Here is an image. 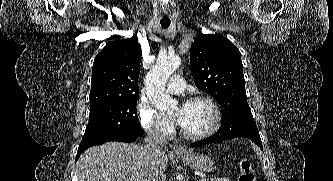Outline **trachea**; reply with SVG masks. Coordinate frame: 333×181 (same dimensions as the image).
<instances>
[{
  "mask_svg": "<svg viewBox=\"0 0 333 181\" xmlns=\"http://www.w3.org/2000/svg\"><path fill=\"white\" fill-rule=\"evenodd\" d=\"M170 25V20H161V26L163 28H168Z\"/></svg>",
  "mask_w": 333,
  "mask_h": 181,
  "instance_id": "obj_1",
  "label": "trachea"
}]
</instances>
